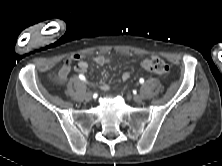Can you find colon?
<instances>
[{
  "label": "colon",
  "instance_id": "5ec220e1",
  "mask_svg": "<svg viewBox=\"0 0 222 166\" xmlns=\"http://www.w3.org/2000/svg\"><path fill=\"white\" fill-rule=\"evenodd\" d=\"M141 67L151 73L158 75H168L170 72L169 65L158 57H149L141 62Z\"/></svg>",
  "mask_w": 222,
  "mask_h": 166
}]
</instances>
